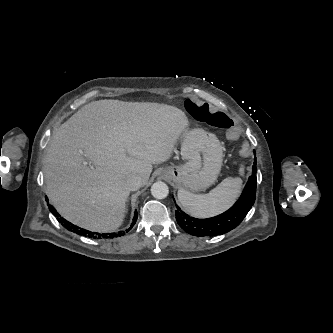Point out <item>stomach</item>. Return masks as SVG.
Masks as SVG:
<instances>
[{"label": "stomach", "mask_w": 333, "mask_h": 333, "mask_svg": "<svg viewBox=\"0 0 333 333\" xmlns=\"http://www.w3.org/2000/svg\"><path fill=\"white\" fill-rule=\"evenodd\" d=\"M181 155L186 162L163 170V175L182 189L203 191L217 179L223 161V147L216 135L192 129L182 136Z\"/></svg>", "instance_id": "obj_1"}]
</instances>
